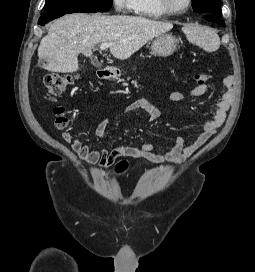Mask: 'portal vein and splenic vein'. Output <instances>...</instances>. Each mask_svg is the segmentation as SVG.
<instances>
[{
    "label": "portal vein and splenic vein",
    "instance_id": "portal-vein-and-splenic-vein-1",
    "mask_svg": "<svg viewBox=\"0 0 255 272\" xmlns=\"http://www.w3.org/2000/svg\"><path fill=\"white\" fill-rule=\"evenodd\" d=\"M112 45H113V44H111V43H101L100 49H101V50H105V49L109 48V47L112 46Z\"/></svg>",
    "mask_w": 255,
    "mask_h": 272
}]
</instances>
